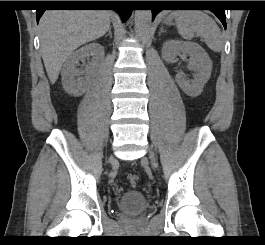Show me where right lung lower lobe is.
I'll use <instances>...</instances> for the list:
<instances>
[{
  "mask_svg": "<svg viewBox=\"0 0 265 245\" xmlns=\"http://www.w3.org/2000/svg\"><path fill=\"white\" fill-rule=\"evenodd\" d=\"M55 6H70L69 4L66 3H57ZM80 7H111L113 10L117 11L121 17L123 22H125L130 14H131V9L128 8V3L127 1H84L83 3H80ZM44 9H39L37 10V22L41 18L42 14L44 13Z\"/></svg>",
  "mask_w": 265,
  "mask_h": 245,
  "instance_id": "1",
  "label": "right lung lower lobe"
}]
</instances>
